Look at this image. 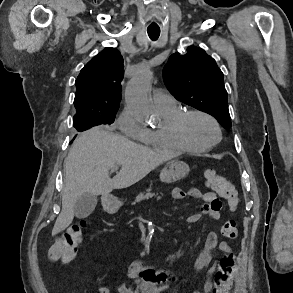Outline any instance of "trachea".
<instances>
[{
  "mask_svg": "<svg viewBox=\"0 0 293 293\" xmlns=\"http://www.w3.org/2000/svg\"><path fill=\"white\" fill-rule=\"evenodd\" d=\"M147 33L150 39L155 41L159 38L160 29H147Z\"/></svg>",
  "mask_w": 293,
  "mask_h": 293,
  "instance_id": "3493384b",
  "label": "trachea"
}]
</instances>
